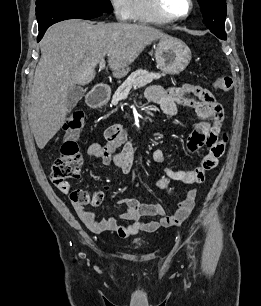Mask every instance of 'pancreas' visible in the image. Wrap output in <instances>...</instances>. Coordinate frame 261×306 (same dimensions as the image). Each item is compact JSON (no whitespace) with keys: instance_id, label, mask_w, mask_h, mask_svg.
I'll use <instances>...</instances> for the list:
<instances>
[{"instance_id":"pancreas-1","label":"pancreas","mask_w":261,"mask_h":306,"mask_svg":"<svg viewBox=\"0 0 261 306\" xmlns=\"http://www.w3.org/2000/svg\"><path fill=\"white\" fill-rule=\"evenodd\" d=\"M161 76H164V74L152 73L143 69H139L131 73V75L115 91L111 103L113 105H117L120 100L125 99L127 97L129 91L132 88L136 89L143 87L151 83L153 80L160 79Z\"/></svg>"}]
</instances>
